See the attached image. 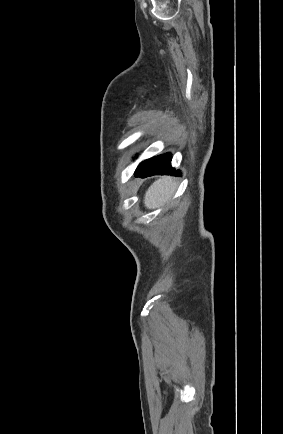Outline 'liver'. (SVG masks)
<instances>
[{
	"instance_id": "liver-1",
	"label": "liver",
	"mask_w": 283,
	"mask_h": 434,
	"mask_svg": "<svg viewBox=\"0 0 283 434\" xmlns=\"http://www.w3.org/2000/svg\"><path fill=\"white\" fill-rule=\"evenodd\" d=\"M177 184L173 178L168 176L160 177L146 191L144 197L145 207L156 209L165 205L176 190Z\"/></svg>"
}]
</instances>
